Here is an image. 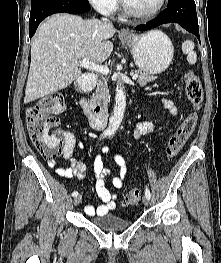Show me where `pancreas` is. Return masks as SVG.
Instances as JSON below:
<instances>
[{"label": "pancreas", "mask_w": 221, "mask_h": 263, "mask_svg": "<svg viewBox=\"0 0 221 263\" xmlns=\"http://www.w3.org/2000/svg\"><path fill=\"white\" fill-rule=\"evenodd\" d=\"M135 73L139 75L137 82L140 86H145L147 83L152 82L156 79L155 76L150 75L149 73H146L142 70H136ZM107 82L108 79L105 77H102L99 80L96 87V93L92 98L94 102L103 104L104 107L107 105L110 98Z\"/></svg>", "instance_id": "1"}]
</instances>
